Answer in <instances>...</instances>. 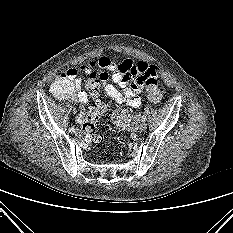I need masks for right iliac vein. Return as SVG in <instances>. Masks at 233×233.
Here are the masks:
<instances>
[{
	"instance_id": "1",
	"label": "right iliac vein",
	"mask_w": 233,
	"mask_h": 233,
	"mask_svg": "<svg viewBox=\"0 0 233 233\" xmlns=\"http://www.w3.org/2000/svg\"><path fill=\"white\" fill-rule=\"evenodd\" d=\"M76 134L80 136V135H81V131H80V130H77V131H76Z\"/></svg>"
}]
</instances>
